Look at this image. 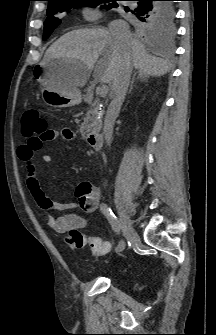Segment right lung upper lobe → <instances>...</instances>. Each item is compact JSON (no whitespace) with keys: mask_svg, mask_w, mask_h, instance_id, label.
Returning a JSON list of instances; mask_svg holds the SVG:
<instances>
[{"mask_svg":"<svg viewBox=\"0 0 216 335\" xmlns=\"http://www.w3.org/2000/svg\"><path fill=\"white\" fill-rule=\"evenodd\" d=\"M49 2V4L53 3V2H58V1H63V0H46Z\"/></svg>","mask_w":216,"mask_h":335,"instance_id":"cb5924a9","label":"right lung upper lobe"}]
</instances>
